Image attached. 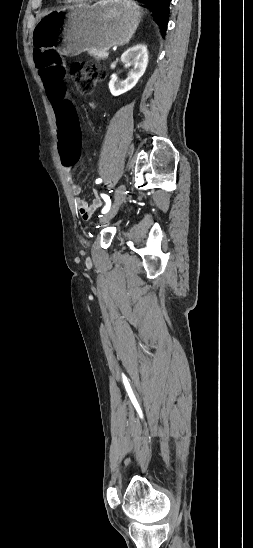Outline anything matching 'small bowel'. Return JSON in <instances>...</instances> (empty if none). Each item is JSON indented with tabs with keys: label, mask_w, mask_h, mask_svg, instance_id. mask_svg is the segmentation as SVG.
<instances>
[{
	"label": "small bowel",
	"mask_w": 253,
	"mask_h": 548,
	"mask_svg": "<svg viewBox=\"0 0 253 548\" xmlns=\"http://www.w3.org/2000/svg\"><path fill=\"white\" fill-rule=\"evenodd\" d=\"M54 60H63V59H61L59 57V58H56ZM37 61L38 60L36 59V64H37ZM52 108H53V105H52ZM63 166H64L65 175H66L68 181L70 182V187H71L72 194L75 197V205H76L81 217L84 220H89L92 217V215L94 214V212L101 206V201L99 199H94L91 204H88L86 201L81 199L79 197V195L81 193V186L74 182L73 176H72V173H71V166H65V165H63Z\"/></svg>",
	"instance_id": "1"
}]
</instances>
